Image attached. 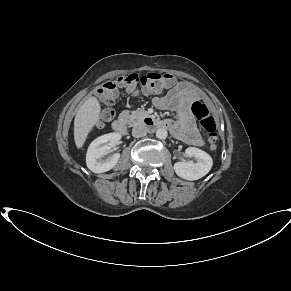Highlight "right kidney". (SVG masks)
<instances>
[{
	"instance_id": "1",
	"label": "right kidney",
	"mask_w": 291,
	"mask_h": 291,
	"mask_svg": "<svg viewBox=\"0 0 291 291\" xmlns=\"http://www.w3.org/2000/svg\"><path fill=\"white\" fill-rule=\"evenodd\" d=\"M121 139L119 133H109L96 138L89 146L86 154L87 167L94 173H103L111 170L120 158L119 153L103 159L113 146Z\"/></svg>"
}]
</instances>
